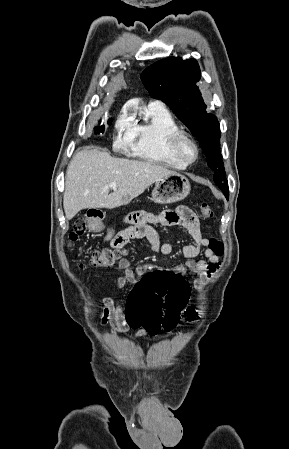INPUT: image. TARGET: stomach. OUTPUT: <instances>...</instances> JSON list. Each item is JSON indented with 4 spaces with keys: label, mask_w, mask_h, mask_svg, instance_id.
Returning a JSON list of instances; mask_svg holds the SVG:
<instances>
[{
    "label": "stomach",
    "mask_w": 289,
    "mask_h": 449,
    "mask_svg": "<svg viewBox=\"0 0 289 449\" xmlns=\"http://www.w3.org/2000/svg\"><path fill=\"white\" fill-rule=\"evenodd\" d=\"M191 190L189 180L181 174L163 177L155 182L151 200L158 204H170L185 199ZM88 228L92 232H100L104 229L102 219L90 217Z\"/></svg>",
    "instance_id": "1"
}]
</instances>
